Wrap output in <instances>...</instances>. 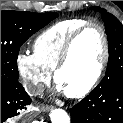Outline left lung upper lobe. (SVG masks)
Masks as SVG:
<instances>
[{"label": "left lung upper lobe", "mask_w": 123, "mask_h": 123, "mask_svg": "<svg viewBox=\"0 0 123 123\" xmlns=\"http://www.w3.org/2000/svg\"><path fill=\"white\" fill-rule=\"evenodd\" d=\"M91 9L101 12L105 23L109 60L105 77L97 87L108 88L118 81H123V25L105 9L100 7H92Z\"/></svg>", "instance_id": "1"}]
</instances>
